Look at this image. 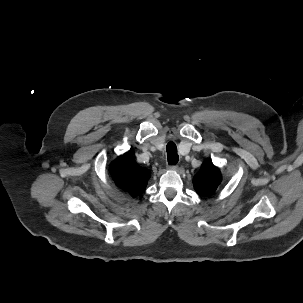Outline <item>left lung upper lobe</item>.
Returning <instances> with one entry per match:
<instances>
[{"mask_svg": "<svg viewBox=\"0 0 303 303\" xmlns=\"http://www.w3.org/2000/svg\"><path fill=\"white\" fill-rule=\"evenodd\" d=\"M221 180L220 170L211 161H206L193 179L194 189L199 195L209 196L216 191Z\"/></svg>", "mask_w": 303, "mask_h": 303, "instance_id": "1", "label": "left lung upper lobe"}]
</instances>
